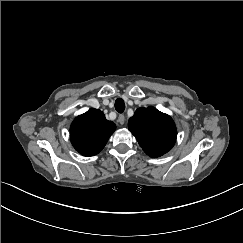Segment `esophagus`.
Instances as JSON below:
<instances>
[{
	"label": "esophagus",
	"mask_w": 243,
	"mask_h": 243,
	"mask_svg": "<svg viewBox=\"0 0 243 243\" xmlns=\"http://www.w3.org/2000/svg\"><path fill=\"white\" fill-rule=\"evenodd\" d=\"M118 122L123 125L125 123V116L123 114H120L118 116Z\"/></svg>",
	"instance_id": "obj_1"
}]
</instances>
